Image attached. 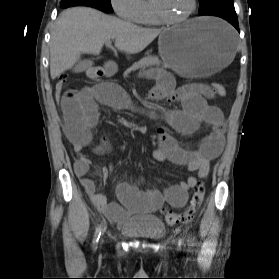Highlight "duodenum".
Segmentation results:
<instances>
[{"mask_svg":"<svg viewBox=\"0 0 279 279\" xmlns=\"http://www.w3.org/2000/svg\"><path fill=\"white\" fill-rule=\"evenodd\" d=\"M90 74L94 78H99V77L103 76V74H104L103 68L100 67V66L94 67V68L91 69Z\"/></svg>","mask_w":279,"mask_h":279,"instance_id":"obj_1","label":"duodenum"}]
</instances>
